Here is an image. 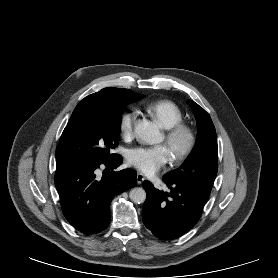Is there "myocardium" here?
Segmentation results:
<instances>
[{"label":"myocardium","mask_w":278,"mask_h":278,"mask_svg":"<svg viewBox=\"0 0 278 278\" xmlns=\"http://www.w3.org/2000/svg\"><path fill=\"white\" fill-rule=\"evenodd\" d=\"M164 142L170 149L173 159L178 162L184 160L193 152L197 137L191 126L181 122L169 129Z\"/></svg>","instance_id":"obj_1"}]
</instances>
